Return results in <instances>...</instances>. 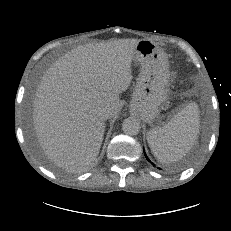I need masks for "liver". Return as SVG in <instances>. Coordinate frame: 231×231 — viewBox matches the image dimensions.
Returning <instances> with one entry per match:
<instances>
[{
  "label": "liver",
  "mask_w": 231,
  "mask_h": 231,
  "mask_svg": "<svg viewBox=\"0 0 231 231\" xmlns=\"http://www.w3.org/2000/svg\"><path fill=\"white\" fill-rule=\"evenodd\" d=\"M139 40L79 46L43 76L33 103V124L47 157L70 172L84 171L99 154L105 132L103 109L114 117L119 94L131 84Z\"/></svg>",
  "instance_id": "1"
}]
</instances>
